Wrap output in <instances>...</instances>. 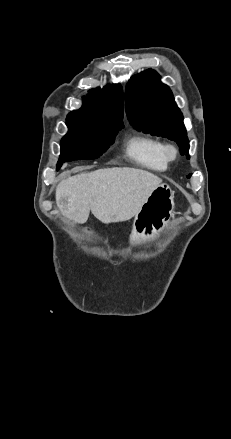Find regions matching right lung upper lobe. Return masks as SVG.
<instances>
[{
  "mask_svg": "<svg viewBox=\"0 0 231 439\" xmlns=\"http://www.w3.org/2000/svg\"><path fill=\"white\" fill-rule=\"evenodd\" d=\"M84 104L79 110L68 114L67 119H85L106 126H123L124 111L123 90L120 85H106L96 88L84 97Z\"/></svg>",
  "mask_w": 231,
  "mask_h": 439,
  "instance_id": "right-lung-upper-lobe-1",
  "label": "right lung upper lobe"
}]
</instances>
